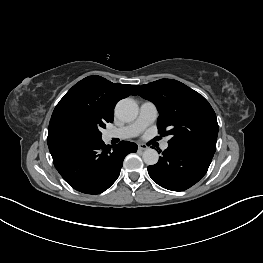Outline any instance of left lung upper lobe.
I'll use <instances>...</instances> for the list:
<instances>
[{"mask_svg":"<svg viewBox=\"0 0 263 263\" xmlns=\"http://www.w3.org/2000/svg\"><path fill=\"white\" fill-rule=\"evenodd\" d=\"M134 87L138 95L156 105L160 114L158 132L171 137L169 145L215 153L218 123L214 110L202 95L172 79Z\"/></svg>","mask_w":263,"mask_h":263,"instance_id":"5c2ea615","label":"left lung upper lobe"}]
</instances>
